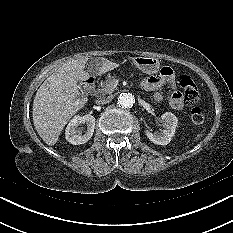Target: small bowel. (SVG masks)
Wrapping results in <instances>:
<instances>
[{"mask_svg":"<svg viewBox=\"0 0 233 233\" xmlns=\"http://www.w3.org/2000/svg\"><path fill=\"white\" fill-rule=\"evenodd\" d=\"M141 86L146 91H155L154 97L157 101L164 99L160 90L165 86H169L172 89L169 98L170 106L176 110H180L184 106L183 95L176 89L175 75L170 67H163L157 75L145 78L141 82Z\"/></svg>","mask_w":233,"mask_h":233,"instance_id":"1","label":"small bowel"}]
</instances>
